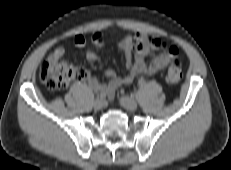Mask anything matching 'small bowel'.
Returning a JSON list of instances; mask_svg holds the SVG:
<instances>
[{
  "mask_svg": "<svg viewBox=\"0 0 231 170\" xmlns=\"http://www.w3.org/2000/svg\"><path fill=\"white\" fill-rule=\"evenodd\" d=\"M92 43L96 47H101L104 43L103 35L100 32L93 34ZM74 44L77 48H84L86 39L82 34L74 37ZM119 48L125 56V66L128 72L124 76H120L113 69L106 71L109 79L106 84L102 83L98 78L87 75L86 81L91 89L100 91L111 99L114 97L115 91L122 85L131 84L137 77L144 74H153L164 69L173 59V57L165 50L166 44L158 38L144 33H136L134 35H125L119 40ZM65 54V48L57 47L49 56L47 61L51 63L59 62ZM88 61L97 60V54L88 50L85 53Z\"/></svg>",
  "mask_w": 231,
  "mask_h": 170,
  "instance_id": "obj_1",
  "label": "small bowel"
}]
</instances>
